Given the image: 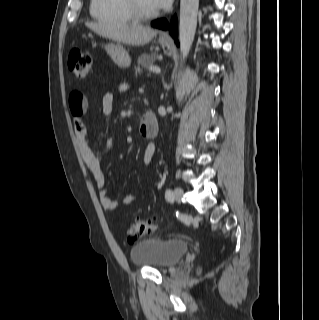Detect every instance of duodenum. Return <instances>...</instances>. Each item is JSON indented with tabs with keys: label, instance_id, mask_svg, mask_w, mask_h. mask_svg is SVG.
<instances>
[{
	"label": "duodenum",
	"instance_id": "duodenum-1",
	"mask_svg": "<svg viewBox=\"0 0 319 320\" xmlns=\"http://www.w3.org/2000/svg\"><path fill=\"white\" fill-rule=\"evenodd\" d=\"M141 135L153 138L159 133V125L154 113L147 112L144 114L139 127Z\"/></svg>",
	"mask_w": 319,
	"mask_h": 320
}]
</instances>
